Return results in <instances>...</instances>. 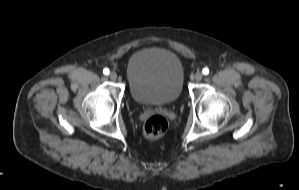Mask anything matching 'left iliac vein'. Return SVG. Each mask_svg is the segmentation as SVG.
<instances>
[{
  "label": "left iliac vein",
  "instance_id": "4c4485c4",
  "mask_svg": "<svg viewBox=\"0 0 299 190\" xmlns=\"http://www.w3.org/2000/svg\"><path fill=\"white\" fill-rule=\"evenodd\" d=\"M203 78V74L201 71H197L196 74H195V80L196 81H201Z\"/></svg>",
  "mask_w": 299,
  "mask_h": 190
}]
</instances>
